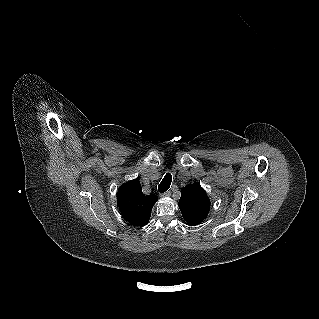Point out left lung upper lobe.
Masks as SVG:
<instances>
[{"label": "left lung upper lobe", "instance_id": "left-lung-upper-lobe-1", "mask_svg": "<svg viewBox=\"0 0 319 319\" xmlns=\"http://www.w3.org/2000/svg\"><path fill=\"white\" fill-rule=\"evenodd\" d=\"M178 205L183 218L190 226L201 223L210 210V200L198 183L182 188Z\"/></svg>", "mask_w": 319, "mask_h": 319}]
</instances>
